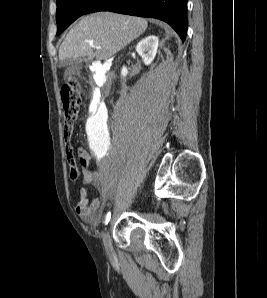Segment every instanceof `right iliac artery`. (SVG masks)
I'll list each match as a JSON object with an SVG mask.
<instances>
[{
    "label": "right iliac artery",
    "instance_id": "82829eb1",
    "mask_svg": "<svg viewBox=\"0 0 267 298\" xmlns=\"http://www.w3.org/2000/svg\"><path fill=\"white\" fill-rule=\"evenodd\" d=\"M110 218H111V212H108V213L106 214V216H105V219H104V222H103V223H104L105 225L108 224Z\"/></svg>",
    "mask_w": 267,
    "mask_h": 298
}]
</instances>
